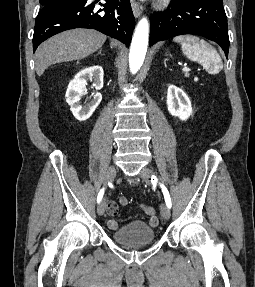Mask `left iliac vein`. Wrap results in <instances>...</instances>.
Here are the masks:
<instances>
[{
	"instance_id": "4c4485c4",
	"label": "left iliac vein",
	"mask_w": 255,
	"mask_h": 287,
	"mask_svg": "<svg viewBox=\"0 0 255 287\" xmlns=\"http://www.w3.org/2000/svg\"><path fill=\"white\" fill-rule=\"evenodd\" d=\"M152 175H153V171L150 168L143 167L141 169L140 177L143 179L144 182L150 183ZM161 215L166 220H168L171 216L170 209L165 203L161 205Z\"/></svg>"
}]
</instances>
